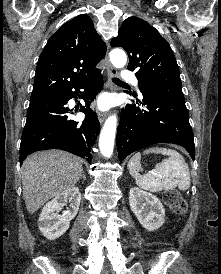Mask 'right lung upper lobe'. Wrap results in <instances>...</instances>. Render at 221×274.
Here are the masks:
<instances>
[{
  "label": "right lung upper lobe",
  "instance_id": "obj_1",
  "mask_svg": "<svg viewBox=\"0 0 221 274\" xmlns=\"http://www.w3.org/2000/svg\"><path fill=\"white\" fill-rule=\"evenodd\" d=\"M105 53L106 46L89 16L82 14L66 22L39 57L30 101L59 95L93 78L101 72L95 66Z\"/></svg>",
  "mask_w": 221,
  "mask_h": 274
}]
</instances>
